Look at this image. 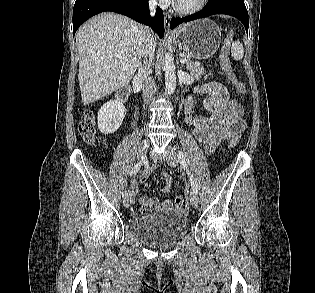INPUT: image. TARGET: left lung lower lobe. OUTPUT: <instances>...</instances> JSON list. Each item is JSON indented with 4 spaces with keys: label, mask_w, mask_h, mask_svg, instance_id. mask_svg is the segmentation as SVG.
<instances>
[{
    "label": "left lung lower lobe",
    "mask_w": 315,
    "mask_h": 293,
    "mask_svg": "<svg viewBox=\"0 0 315 293\" xmlns=\"http://www.w3.org/2000/svg\"><path fill=\"white\" fill-rule=\"evenodd\" d=\"M214 14H227L239 19L248 32V12L243 0H212L199 12L183 18H172L170 28L174 29L181 23L208 17Z\"/></svg>",
    "instance_id": "left-lung-lower-lobe-1"
}]
</instances>
